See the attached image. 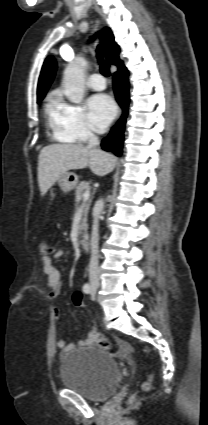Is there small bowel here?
Instances as JSON below:
<instances>
[{"instance_id":"1","label":"small bowel","mask_w":208,"mask_h":425,"mask_svg":"<svg viewBox=\"0 0 208 425\" xmlns=\"http://www.w3.org/2000/svg\"><path fill=\"white\" fill-rule=\"evenodd\" d=\"M63 254L64 253L62 250H57L53 256L54 258L58 259V258H61ZM42 262H43V271L47 277V285L49 288L48 297L50 299H54L58 297L61 292L62 276L59 269L53 265L52 259L49 256H43ZM54 315L56 317L60 316V309L58 307L54 308ZM92 343H93V339H92L91 333H89L87 338L80 340L78 344L80 346H88V345H91ZM56 344H57V347L64 352L71 351L75 348V345L73 343H68L63 339H59ZM118 344L121 350H126L128 348V346L122 341H119Z\"/></svg>"}]
</instances>
